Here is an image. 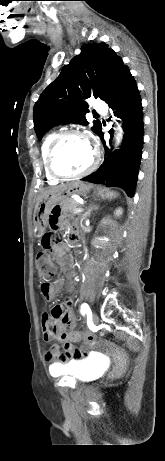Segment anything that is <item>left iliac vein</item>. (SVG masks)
I'll return each mask as SVG.
<instances>
[{
  "instance_id": "4c4485c4",
  "label": "left iliac vein",
  "mask_w": 165,
  "mask_h": 461,
  "mask_svg": "<svg viewBox=\"0 0 165 461\" xmlns=\"http://www.w3.org/2000/svg\"><path fill=\"white\" fill-rule=\"evenodd\" d=\"M91 318L94 324H97L99 322V317L95 312L92 313Z\"/></svg>"
}]
</instances>
